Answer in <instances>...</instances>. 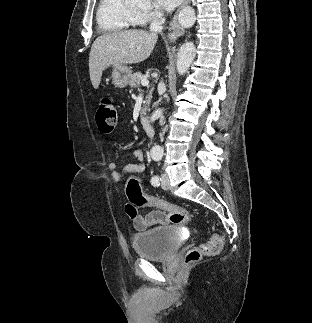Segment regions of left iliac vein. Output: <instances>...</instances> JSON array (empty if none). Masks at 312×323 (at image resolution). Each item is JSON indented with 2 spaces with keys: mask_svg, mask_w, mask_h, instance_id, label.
Returning a JSON list of instances; mask_svg holds the SVG:
<instances>
[{
  "mask_svg": "<svg viewBox=\"0 0 312 323\" xmlns=\"http://www.w3.org/2000/svg\"><path fill=\"white\" fill-rule=\"evenodd\" d=\"M161 187L163 189H168L169 188V181H168V176L166 173H163L161 176Z\"/></svg>",
  "mask_w": 312,
  "mask_h": 323,
  "instance_id": "1",
  "label": "left iliac vein"
}]
</instances>
